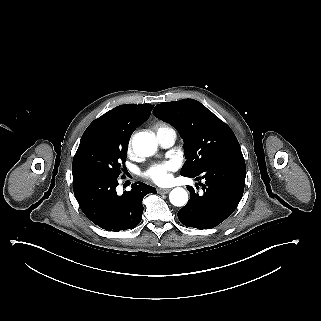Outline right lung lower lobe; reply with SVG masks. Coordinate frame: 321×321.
Listing matches in <instances>:
<instances>
[{
  "label": "right lung lower lobe",
  "mask_w": 321,
  "mask_h": 321,
  "mask_svg": "<svg viewBox=\"0 0 321 321\" xmlns=\"http://www.w3.org/2000/svg\"><path fill=\"white\" fill-rule=\"evenodd\" d=\"M74 195L83 213L96 225L118 232L135 228L142 219V200L156 189L142 182L118 196L117 178L95 172L73 173Z\"/></svg>",
  "instance_id": "obj_1"
}]
</instances>
